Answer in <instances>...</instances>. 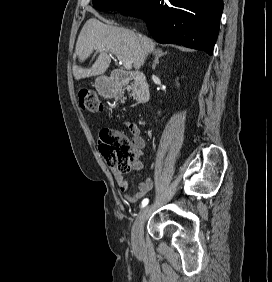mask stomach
<instances>
[{
  "instance_id": "0dacf381",
  "label": "stomach",
  "mask_w": 272,
  "mask_h": 282,
  "mask_svg": "<svg viewBox=\"0 0 272 282\" xmlns=\"http://www.w3.org/2000/svg\"><path fill=\"white\" fill-rule=\"evenodd\" d=\"M103 82H104L103 77H99V78L96 79V87H97L98 91L101 92V93L105 92Z\"/></svg>"
}]
</instances>
